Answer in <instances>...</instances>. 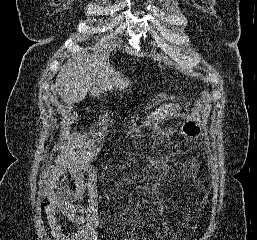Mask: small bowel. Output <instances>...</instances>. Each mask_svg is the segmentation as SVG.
Listing matches in <instances>:
<instances>
[{"label":"small bowel","instance_id":"1","mask_svg":"<svg viewBox=\"0 0 257 240\" xmlns=\"http://www.w3.org/2000/svg\"><path fill=\"white\" fill-rule=\"evenodd\" d=\"M73 139L81 149V157L76 160L75 167L77 170L86 171L90 177V200L87 205H82L74 204L66 200L55 199L47 206V220L54 240H98V203L94 188L96 177L92 162L99 147L82 135L75 134ZM65 158L66 152H63L57 157L55 163L46 169L44 173V185L47 189H53L56 185L64 183L66 172L64 167ZM82 193L83 190L78 188L72 199L75 200L77 196L82 195ZM59 215H62L73 224L80 225V227L73 233H66L58 222ZM122 240L135 239L124 237Z\"/></svg>","mask_w":257,"mask_h":240}]
</instances>
